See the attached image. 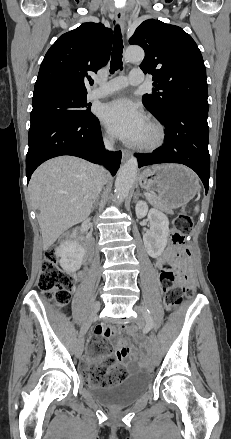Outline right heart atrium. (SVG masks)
<instances>
[{
	"mask_svg": "<svg viewBox=\"0 0 231 439\" xmlns=\"http://www.w3.org/2000/svg\"><path fill=\"white\" fill-rule=\"evenodd\" d=\"M104 141H105L107 144H110V143L112 142V139H111V137H110L109 135H105V136H104Z\"/></svg>",
	"mask_w": 231,
	"mask_h": 439,
	"instance_id": "right-heart-atrium-1",
	"label": "right heart atrium"
}]
</instances>
